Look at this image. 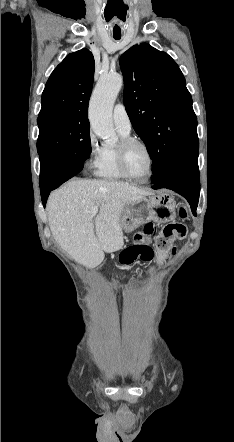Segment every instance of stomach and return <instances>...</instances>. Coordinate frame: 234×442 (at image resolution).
Instances as JSON below:
<instances>
[{
	"instance_id": "obj_1",
	"label": "stomach",
	"mask_w": 234,
	"mask_h": 442,
	"mask_svg": "<svg viewBox=\"0 0 234 442\" xmlns=\"http://www.w3.org/2000/svg\"><path fill=\"white\" fill-rule=\"evenodd\" d=\"M175 217L174 199L168 192H159L126 206L121 214L120 226L123 231L132 232L150 221L167 223Z\"/></svg>"
}]
</instances>
